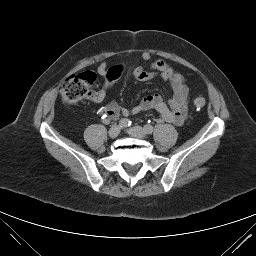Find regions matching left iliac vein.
<instances>
[{"label":"left iliac vein","mask_w":256,"mask_h":256,"mask_svg":"<svg viewBox=\"0 0 256 256\" xmlns=\"http://www.w3.org/2000/svg\"><path fill=\"white\" fill-rule=\"evenodd\" d=\"M127 132H128V134H130L131 136L136 137V138L144 139L146 137V133H145L144 129L140 126H135V127L129 128L127 130Z\"/></svg>","instance_id":"1"}]
</instances>
